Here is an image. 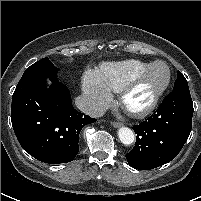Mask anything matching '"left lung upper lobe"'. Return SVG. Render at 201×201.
<instances>
[{"label": "left lung upper lobe", "mask_w": 201, "mask_h": 201, "mask_svg": "<svg viewBox=\"0 0 201 201\" xmlns=\"http://www.w3.org/2000/svg\"><path fill=\"white\" fill-rule=\"evenodd\" d=\"M179 88H189L187 80L185 79V77L180 71L177 72V79L174 83L173 90L179 89Z\"/></svg>", "instance_id": "left-lung-upper-lobe-1"}]
</instances>
